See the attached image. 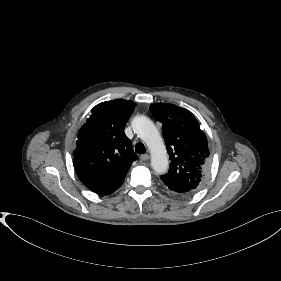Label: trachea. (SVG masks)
Returning <instances> with one entry per match:
<instances>
[{
  "mask_svg": "<svg viewBox=\"0 0 281 281\" xmlns=\"http://www.w3.org/2000/svg\"><path fill=\"white\" fill-rule=\"evenodd\" d=\"M135 152L138 154H144L146 152V148L143 143L139 142L135 146Z\"/></svg>",
  "mask_w": 281,
  "mask_h": 281,
  "instance_id": "trachea-1",
  "label": "trachea"
}]
</instances>
